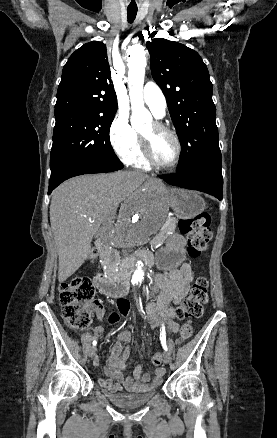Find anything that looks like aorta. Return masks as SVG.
<instances>
[{
    "label": "aorta",
    "instance_id": "aorta-1",
    "mask_svg": "<svg viewBox=\"0 0 277 438\" xmlns=\"http://www.w3.org/2000/svg\"><path fill=\"white\" fill-rule=\"evenodd\" d=\"M128 85L131 100V124L134 128L150 122V112L144 107L143 84L146 67L145 51L134 46L127 52ZM168 204L164 194L155 188H146L138 192L128 203L114 229L110 244L125 255L142 246L156 233L167 217ZM132 276V284H138L144 278L143 264Z\"/></svg>",
    "mask_w": 277,
    "mask_h": 438
}]
</instances>
